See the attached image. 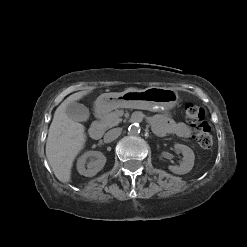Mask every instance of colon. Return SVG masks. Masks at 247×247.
<instances>
[{
  "instance_id": "5ec220e1",
  "label": "colon",
  "mask_w": 247,
  "mask_h": 247,
  "mask_svg": "<svg viewBox=\"0 0 247 247\" xmlns=\"http://www.w3.org/2000/svg\"><path fill=\"white\" fill-rule=\"evenodd\" d=\"M185 117L189 124L195 130V137L199 146L203 149H209L213 145L211 128L205 121V111L195 103H187L185 105Z\"/></svg>"
}]
</instances>
